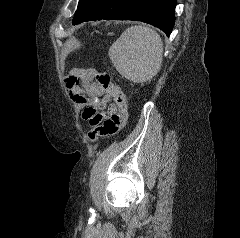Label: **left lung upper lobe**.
Instances as JSON below:
<instances>
[{"label": "left lung upper lobe", "instance_id": "1", "mask_svg": "<svg viewBox=\"0 0 240 238\" xmlns=\"http://www.w3.org/2000/svg\"><path fill=\"white\" fill-rule=\"evenodd\" d=\"M91 0H80L78 4V8L75 12L73 20L79 18L84 10L86 9L87 5L90 3Z\"/></svg>", "mask_w": 240, "mask_h": 238}]
</instances>
